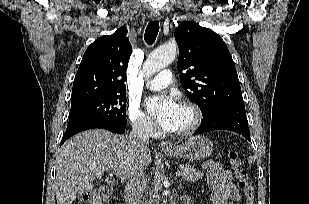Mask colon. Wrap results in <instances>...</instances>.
<instances>
[{
    "label": "colon",
    "mask_w": 309,
    "mask_h": 204,
    "mask_svg": "<svg viewBox=\"0 0 309 204\" xmlns=\"http://www.w3.org/2000/svg\"><path fill=\"white\" fill-rule=\"evenodd\" d=\"M229 162L235 173L239 187L244 193L245 204H253L255 199V188L248 177L243 162L234 150L229 152ZM112 189L108 186L99 187L84 195L80 204H104L111 197Z\"/></svg>",
    "instance_id": "1"
}]
</instances>
